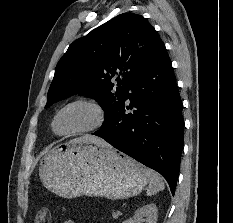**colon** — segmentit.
Masks as SVG:
<instances>
[{"label": "colon", "mask_w": 233, "mask_h": 223, "mask_svg": "<svg viewBox=\"0 0 233 223\" xmlns=\"http://www.w3.org/2000/svg\"><path fill=\"white\" fill-rule=\"evenodd\" d=\"M49 222V211L47 209H42L38 213V218L36 223H48Z\"/></svg>", "instance_id": "obj_1"}]
</instances>
